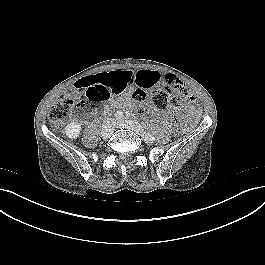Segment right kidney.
I'll use <instances>...</instances> for the list:
<instances>
[{"label":"right kidney","mask_w":265,"mask_h":265,"mask_svg":"<svg viewBox=\"0 0 265 265\" xmlns=\"http://www.w3.org/2000/svg\"><path fill=\"white\" fill-rule=\"evenodd\" d=\"M81 131V125L76 122H72L65 127V134L70 139H76L79 137Z\"/></svg>","instance_id":"1"}]
</instances>
